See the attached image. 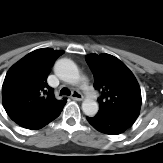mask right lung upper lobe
<instances>
[{"instance_id": "cb5924a9", "label": "right lung upper lobe", "mask_w": 163, "mask_h": 163, "mask_svg": "<svg viewBox=\"0 0 163 163\" xmlns=\"http://www.w3.org/2000/svg\"><path fill=\"white\" fill-rule=\"evenodd\" d=\"M64 51L51 48L35 50L13 65L2 87L3 106L14 120L22 116L47 115L64 107L47 84L54 61Z\"/></svg>"}]
</instances>
